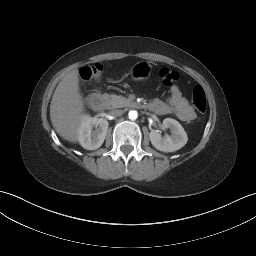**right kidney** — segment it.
Here are the masks:
<instances>
[{"label":"right kidney","mask_w":256,"mask_h":256,"mask_svg":"<svg viewBox=\"0 0 256 256\" xmlns=\"http://www.w3.org/2000/svg\"><path fill=\"white\" fill-rule=\"evenodd\" d=\"M108 126L106 119L83 115L78 133L79 143L87 150L98 149L106 138Z\"/></svg>","instance_id":"ca27d5eb"}]
</instances>
